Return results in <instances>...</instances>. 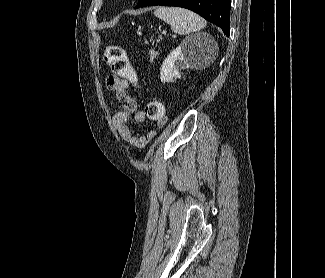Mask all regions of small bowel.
<instances>
[{"label":"small bowel","mask_w":325,"mask_h":278,"mask_svg":"<svg viewBox=\"0 0 325 278\" xmlns=\"http://www.w3.org/2000/svg\"><path fill=\"white\" fill-rule=\"evenodd\" d=\"M129 84V81L117 76H109L106 79L107 89L116 95L121 104L120 110L114 115V124L125 142L130 144L134 149L141 150L153 139L154 132L149 131L145 134H135L131 130L129 126L131 118H134L137 122H143L145 120V114L138 107L137 101L128 95L127 90ZM163 122L164 120L160 123L162 124Z\"/></svg>","instance_id":"small-bowel-1"}]
</instances>
